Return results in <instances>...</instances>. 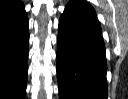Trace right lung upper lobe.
<instances>
[{
	"mask_svg": "<svg viewBox=\"0 0 128 99\" xmlns=\"http://www.w3.org/2000/svg\"><path fill=\"white\" fill-rule=\"evenodd\" d=\"M23 5L20 0H0V18Z\"/></svg>",
	"mask_w": 128,
	"mask_h": 99,
	"instance_id": "cb5924a9",
	"label": "right lung upper lobe"
}]
</instances>
